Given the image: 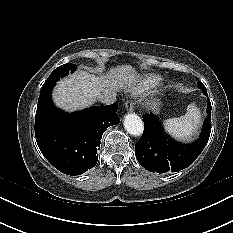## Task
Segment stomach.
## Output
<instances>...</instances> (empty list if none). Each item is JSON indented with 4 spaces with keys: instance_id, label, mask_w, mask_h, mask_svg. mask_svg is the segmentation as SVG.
Here are the masks:
<instances>
[{
    "instance_id": "0dacf381",
    "label": "stomach",
    "mask_w": 233,
    "mask_h": 233,
    "mask_svg": "<svg viewBox=\"0 0 233 233\" xmlns=\"http://www.w3.org/2000/svg\"><path fill=\"white\" fill-rule=\"evenodd\" d=\"M149 107L155 112L158 113L159 111V102L154 100L149 103Z\"/></svg>"
}]
</instances>
